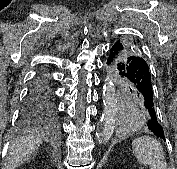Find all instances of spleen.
Listing matches in <instances>:
<instances>
[{"mask_svg":"<svg viewBox=\"0 0 177 169\" xmlns=\"http://www.w3.org/2000/svg\"><path fill=\"white\" fill-rule=\"evenodd\" d=\"M132 147L140 164L148 165L150 169H168L162 145L155 138H136L132 141Z\"/></svg>","mask_w":177,"mask_h":169,"instance_id":"spleen-1","label":"spleen"}]
</instances>
